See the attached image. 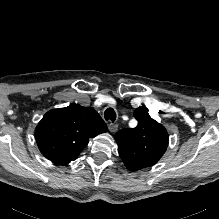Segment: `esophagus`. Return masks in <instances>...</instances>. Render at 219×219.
Masks as SVG:
<instances>
[{
    "label": "esophagus",
    "mask_w": 219,
    "mask_h": 219,
    "mask_svg": "<svg viewBox=\"0 0 219 219\" xmlns=\"http://www.w3.org/2000/svg\"><path fill=\"white\" fill-rule=\"evenodd\" d=\"M108 129L111 133H115L118 130V125L115 123L110 122L108 124Z\"/></svg>",
    "instance_id": "1"
}]
</instances>
